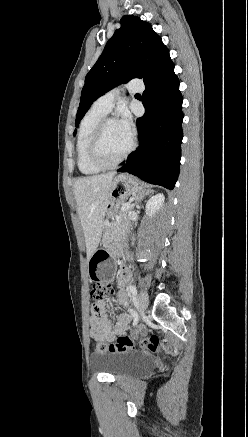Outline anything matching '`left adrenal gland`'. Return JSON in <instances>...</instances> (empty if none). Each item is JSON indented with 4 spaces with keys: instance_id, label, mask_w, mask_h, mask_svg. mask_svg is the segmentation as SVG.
I'll list each match as a JSON object with an SVG mask.
<instances>
[{
    "instance_id": "obj_1",
    "label": "left adrenal gland",
    "mask_w": 248,
    "mask_h": 437,
    "mask_svg": "<svg viewBox=\"0 0 248 437\" xmlns=\"http://www.w3.org/2000/svg\"><path fill=\"white\" fill-rule=\"evenodd\" d=\"M153 192H154L153 190H150V191H147V192H144V191L140 192V193L137 195V198H136V204L138 205V204L143 200V198L145 197V195H148L149 193H153Z\"/></svg>"
}]
</instances>
